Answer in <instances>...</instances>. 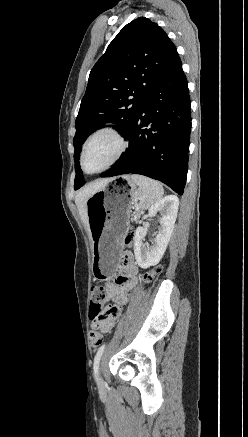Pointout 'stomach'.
<instances>
[{"instance_id": "0dacf381", "label": "stomach", "mask_w": 248, "mask_h": 437, "mask_svg": "<svg viewBox=\"0 0 248 437\" xmlns=\"http://www.w3.org/2000/svg\"><path fill=\"white\" fill-rule=\"evenodd\" d=\"M137 191L130 176H119L109 180L87 200L94 274L97 279L110 278L116 272Z\"/></svg>"}]
</instances>
